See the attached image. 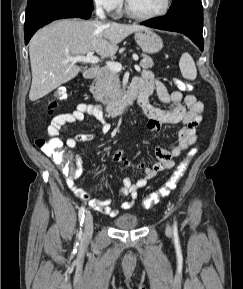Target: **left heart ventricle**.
<instances>
[{"mask_svg": "<svg viewBox=\"0 0 243 289\" xmlns=\"http://www.w3.org/2000/svg\"><path fill=\"white\" fill-rule=\"evenodd\" d=\"M130 7L139 14H153L164 7L165 0H128Z\"/></svg>", "mask_w": 243, "mask_h": 289, "instance_id": "1", "label": "left heart ventricle"}]
</instances>
